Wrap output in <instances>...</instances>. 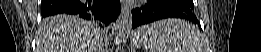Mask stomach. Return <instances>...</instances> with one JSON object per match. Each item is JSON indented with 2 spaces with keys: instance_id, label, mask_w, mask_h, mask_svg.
<instances>
[{
  "instance_id": "0dacf381",
  "label": "stomach",
  "mask_w": 261,
  "mask_h": 52,
  "mask_svg": "<svg viewBox=\"0 0 261 52\" xmlns=\"http://www.w3.org/2000/svg\"><path fill=\"white\" fill-rule=\"evenodd\" d=\"M131 40L136 47H141L148 44V41H146L142 29H138L132 36Z\"/></svg>"
}]
</instances>
